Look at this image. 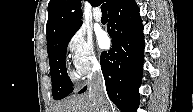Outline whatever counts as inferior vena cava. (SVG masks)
<instances>
[{
    "label": "inferior vena cava",
    "instance_id": "602c4592",
    "mask_svg": "<svg viewBox=\"0 0 193 112\" xmlns=\"http://www.w3.org/2000/svg\"><path fill=\"white\" fill-rule=\"evenodd\" d=\"M89 94L94 97L100 107V112H111L106 98L103 75L98 64H95L89 78Z\"/></svg>",
    "mask_w": 193,
    "mask_h": 112
}]
</instances>
